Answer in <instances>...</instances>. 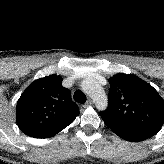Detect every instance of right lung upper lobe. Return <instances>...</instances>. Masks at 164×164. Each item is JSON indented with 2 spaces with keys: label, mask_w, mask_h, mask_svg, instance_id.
<instances>
[{
  "label": "right lung upper lobe",
  "mask_w": 164,
  "mask_h": 164,
  "mask_svg": "<svg viewBox=\"0 0 164 164\" xmlns=\"http://www.w3.org/2000/svg\"><path fill=\"white\" fill-rule=\"evenodd\" d=\"M79 114L71 93L62 86L56 74L35 80L20 96L16 107V122L30 137L73 120Z\"/></svg>",
  "instance_id": "obj_1"
}]
</instances>
